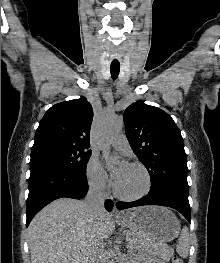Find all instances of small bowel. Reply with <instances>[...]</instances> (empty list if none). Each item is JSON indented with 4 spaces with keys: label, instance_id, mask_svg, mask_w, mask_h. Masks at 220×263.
<instances>
[{
    "label": "small bowel",
    "instance_id": "1",
    "mask_svg": "<svg viewBox=\"0 0 220 263\" xmlns=\"http://www.w3.org/2000/svg\"><path fill=\"white\" fill-rule=\"evenodd\" d=\"M151 263H160L159 261H157V260H154V261H152Z\"/></svg>",
    "mask_w": 220,
    "mask_h": 263
}]
</instances>
